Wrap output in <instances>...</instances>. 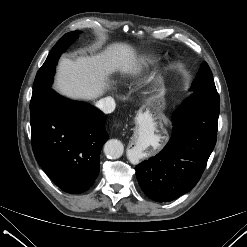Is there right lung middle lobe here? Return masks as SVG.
<instances>
[{"label":"right lung middle lobe","mask_w":247,"mask_h":247,"mask_svg":"<svg viewBox=\"0 0 247 247\" xmlns=\"http://www.w3.org/2000/svg\"><path fill=\"white\" fill-rule=\"evenodd\" d=\"M78 34L79 31L65 34L52 48L46 61L37 72L33 84L32 98L30 101V114L35 112L36 109L40 107L50 92L57 61L66 47L78 37Z\"/></svg>","instance_id":"1"}]
</instances>
